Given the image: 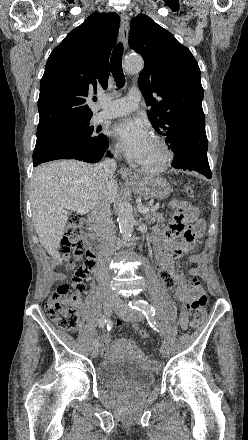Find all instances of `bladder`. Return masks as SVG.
I'll return each instance as SVG.
<instances>
[{
	"mask_svg": "<svg viewBox=\"0 0 248 440\" xmlns=\"http://www.w3.org/2000/svg\"><path fill=\"white\" fill-rule=\"evenodd\" d=\"M98 382L115 390H142L155 380L154 370L144 364L123 359L101 361L96 367Z\"/></svg>",
	"mask_w": 248,
	"mask_h": 440,
	"instance_id": "1",
	"label": "bladder"
}]
</instances>
